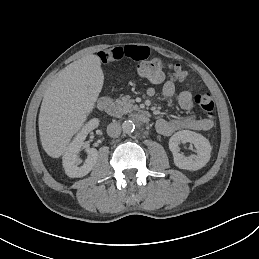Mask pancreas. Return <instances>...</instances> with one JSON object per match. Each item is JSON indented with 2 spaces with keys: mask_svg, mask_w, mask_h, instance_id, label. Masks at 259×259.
<instances>
[{
  "mask_svg": "<svg viewBox=\"0 0 259 259\" xmlns=\"http://www.w3.org/2000/svg\"><path fill=\"white\" fill-rule=\"evenodd\" d=\"M130 98V96L125 95L117 99V102L121 106V111L123 114L134 113L139 111V108L136 105H134V101L130 100Z\"/></svg>",
  "mask_w": 259,
  "mask_h": 259,
  "instance_id": "1",
  "label": "pancreas"
}]
</instances>
